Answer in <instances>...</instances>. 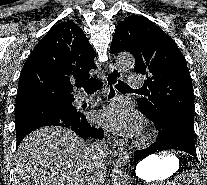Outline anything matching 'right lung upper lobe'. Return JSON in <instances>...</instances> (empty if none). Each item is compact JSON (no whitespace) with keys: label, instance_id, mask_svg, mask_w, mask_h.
I'll use <instances>...</instances> for the list:
<instances>
[{"label":"right lung upper lobe","instance_id":"right-lung-upper-lobe-1","mask_svg":"<svg viewBox=\"0 0 207 185\" xmlns=\"http://www.w3.org/2000/svg\"><path fill=\"white\" fill-rule=\"evenodd\" d=\"M94 55L82 29L73 21L53 26L22 68L15 111L73 102V86L85 83L89 71L96 68Z\"/></svg>","mask_w":207,"mask_h":185}]
</instances>
